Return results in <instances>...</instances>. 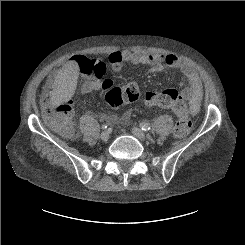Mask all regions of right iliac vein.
Wrapping results in <instances>:
<instances>
[{
    "label": "right iliac vein",
    "mask_w": 245,
    "mask_h": 245,
    "mask_svg": "<svg viewBox=\"0 0 245 245\" xmlns=\"http://www.w3.org/2000/svg\"><path fill=\"white\" fill-rule=\"evenodd\" d=\"M110 137V133L108 131H103L101 134H100V138L104 141L108 140Z\"/></svg>",
    "instance_id": "right-iliac-vein-1"
}]
</instances>
